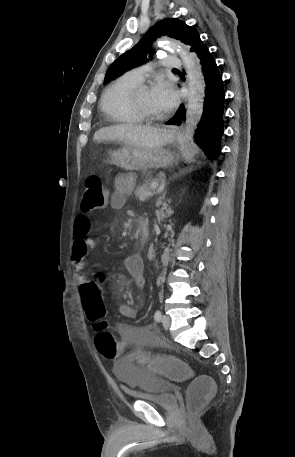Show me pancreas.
<instances>
[{"mask_svg": "<svg viewBox=\"0 0 295 457\" xmlns=\"http://www.w3.org/2000/svg\"><path fill=\"white\" fill-rule=\"evenodd\" d=\"M153 182L155 181L146 182L135 190L134 194L140 201H145L152 195L151 184Z\"/></svg>", "mask_w": 295, "mask_h": 457, "instance_id": "obj_1", "label": "pancreas"}]
</instances>
